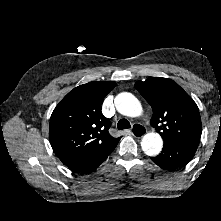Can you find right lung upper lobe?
Wrapping results in <instances>:
<instances>
[{
    "mask_svg": "<svg viewBox=\"0 0 221 221\" xmlns=\"http://www.w3.org/2000/svg\"><path fill=\"white\" fill-rule=\"evenodd\" d=\"M116 86L112 81H92L69 92L54 109L49 139L57 157L69 164L76 160L105 155L119 138L109 132L110 121L101 113L106 95Z\"/></svg>",
    "mask_w": 221,
    "mask_h": 221,
    "instance_id": "right-lung-upper-lobe-1",
    "label": "right lung upper lobe"
}]
</instances>
